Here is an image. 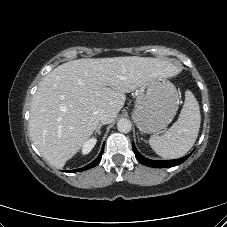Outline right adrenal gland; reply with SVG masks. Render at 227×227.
I'll return each mask as SVG.
<instances>
[{"instance_id": "obj_1", "label": "right adrenal gland", "mask_w": 227, "mask_h": 227, "mask_svg": "<svg viewBox=\"0 0 227 227\" xmlns=\"http://www.w3.org/2000/svg\"><path fill=\"white\" fill-rule=\"evenodd\" d=\"M102 125H103V124H99V126H98V127L96 128V130H95V133H97L98 135L101 134L100 129H101Z\"/></svg>"}]
</instances>
